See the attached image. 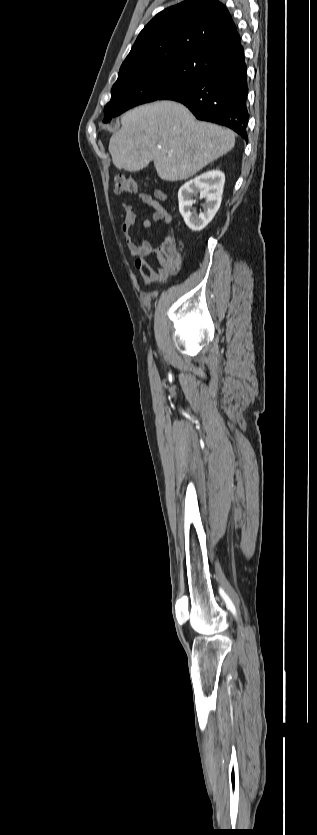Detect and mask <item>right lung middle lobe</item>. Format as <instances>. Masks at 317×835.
I'll return each instance as SVG.
<instances>
[{"label": "right lung middle lobe", "mask_w": 317, "mask_h": 835, "mask_svg": "<svg viewBox=\"0 0 317 835\" xmlns=\"http://www.w3.org/2000/svg\"><path fill=\"white\" fill-rule=\"evenodd\" d=\"M202 77V67L195 56L118 76L112 87L111 100L104 108L103 122H109L134 106L159 100Z\"/></svg>", "instance_id": "dd1d6c3e"}]
</instances>
